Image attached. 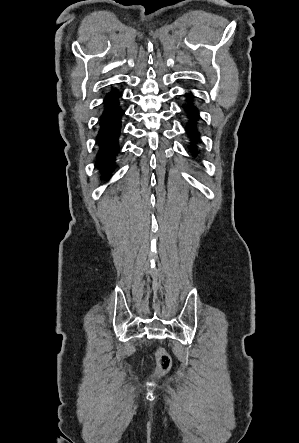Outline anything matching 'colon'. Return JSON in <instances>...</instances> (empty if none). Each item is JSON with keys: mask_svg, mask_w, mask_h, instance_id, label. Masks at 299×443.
<instances>
[{"mask_svg": "<svg viewBox=\"0 0 299 443\" xmlns=\"http://www.w3.org/2000/svg\"><path fill=\"white\" fill-rule=\"evenodd\" d=\"M157 361V370L155 372L156 377H162L167 374L171 368V358L168 353L162 349L158 348L155 353Z\"/></svg>", "mask_w": 299, "mask_h": 443, "instance_id": "5ec220e1", "label": "colon"}]
</instances>
